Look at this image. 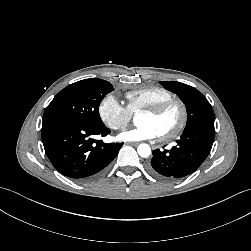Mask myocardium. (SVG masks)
Returning a JSON list of instances; mask_svg holds the SVG:
<instances>
[{
	"label": "myocardium",
	"instance_id": "myocardium-1",
	"mask_svg": "<svg viewBox=\"0 0 251 251\" xmlns=\"http://www.w3.org/2000/svg\"><path fill=\"white\" fill-rule=\"evenodd\" d=\"M173 107L178 108L180 112V119L177 125L171 131L159 135L160 139L163 141H169L176 138L185 129L188 121V110L186 105L181 100L173 98L142 110V113L159 116Z\"/></svg>",
	"mask_w": 251,
	"mask_h": 251
}]
</instances>
